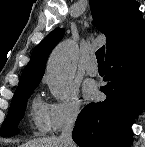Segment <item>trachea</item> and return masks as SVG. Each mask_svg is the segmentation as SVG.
<instances>
[{"label":"trachea","instance_id":"obj_1","mask_svg":"<svg viewBox=\"0 0 145 147\" xmlns=\"http://www.w3.org/2000/svg\"><path fill=\"white\" fill-rule=\"evenodd\" d=\"M104 53H105V47H101L96 52V58H97L98 65H105V62H104Z\"/></svg>","mask_w":145,"mask_h":147}]
</instances>
